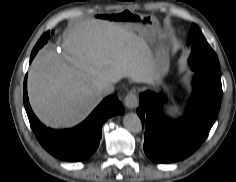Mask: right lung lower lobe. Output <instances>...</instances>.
<instances>
[{
	"mask_svg": "<svg viewBox=\"0 0 236 182\" xmlns=\"http://www.w3.org/2000/svg\"><path fill=\"white\" fill-rule=\"evenodd\" d=\"M38 51L33 50L30 62ZM24 106L30 125L40 144L60 160L77 162L89 158L98 148L103 123L114 115L123 114L124 107L115 95L105 98L90 116L78 126L66 130H53L44 126L33 113L24 81Z\"/></svg>",
	"mask_w": 236,
	"mask_h": 182,
	"instance_id": "98d812e1",
	"label": "right lung lower lobe"
}]
</instances>
